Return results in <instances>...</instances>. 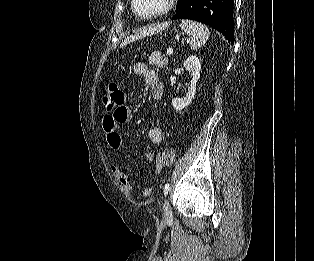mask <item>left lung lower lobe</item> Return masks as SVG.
<instances>
[{
    "instance_id": "1",
    "label": "left lung lower lobe",
    "mask_w": 314,
    "mask_h": 261,
    "mask_svg": "<svg viewBox=\"0 0 314 261\" xmlns=\"http://www.w3.org/2000/svg\"><path fill=\"white\" fill-rule=\"evenodd\" d=\"M177 19L205 23L234 43L233 0H184L172 17Z\"/></svg>"
}]
</instances>
